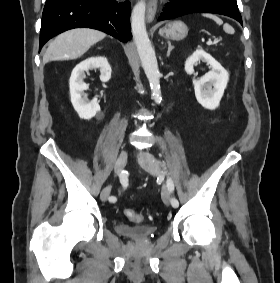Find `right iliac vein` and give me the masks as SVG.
I'll use <instances>...</instances> for the list:
<instances>
[{
  "label": "right iliac vein",
  "instance_id": "63e3f726",
  "mask_svg": "<svg viewBox=\"0 0 280 283\" xmlns=\"http://www.w3.org/2000/svg\"><path fill=\"white\" fill-rule=\"evenodd\" d=\"M127 159H128L127 151H122L119 154V156L117 158V161H116V170L117 171H120L121 169H123L125 167V165L127 163ZM110 191H111V187L110 186L105 187L101 191V194H100L101 201L105 202L108 199Z\"/></svg>",
  "mask_w": 280,
  "mask_h": 283
}]
</instances>
